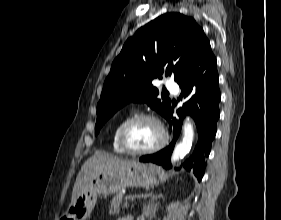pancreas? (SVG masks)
Masks as SVG:
<instances>
[{
	"label": "pancreas",
	"instance_id": "obj_1",
	"mask_svg": "<svg viewBox=\"0 0 281 220\" xmlns=\"http://www.w3.org/2000/svg\"><path fill=\"white\" fill-rule=\"evenodd\" d=\"M122 203H123V195H122V193H117L112 198V201L110 203V206H109L110 212L112 214H119ZM123 207L128 208L127 202H124Z\"/></svg>",
	"mask_w": 281,
	"mask_h": 220
}]
</instances>
